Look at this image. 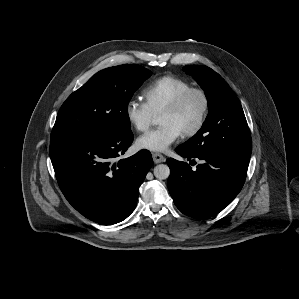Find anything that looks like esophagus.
Wrapping results in <instances>:
<instances>
[{
	"label": "esophagus",
	"mask_w": 299,
	"mask_h": 299,
	"mask_svg": "<svg viewBox=\"0 0 299 299\" xmlns=\"http://www.w3.org/2000/svg\"><path fill=\"white\" fill-rule=\"evenodd\" d=\"M152 157H153V161L156 164L165 162V160H166L165 157L162 154H160V153H153Z\"/></svg>",
	"instance_id": "obj_1"
}]
</instances>
